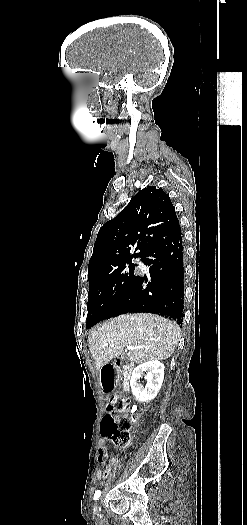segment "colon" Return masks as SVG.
<instances>
[{
    "instance_id": "1",
    "label": "colon",
    "mask_w": 247,
    "mask_h": 525,
    "mask_svg": "<svg viewBox=\"0 0 247 525\" xmlns=\"http://www.w3.org/2000/svg\"><path fill=\"white\" fill-rule=\"evenodd\" d=\"M127 399L123 395L112 396L107 403V413L105 414L99 435L108 438L118 448H125L130 440V429L134 423V418L126 415Z\"/></svg>"
}]
</instances>
